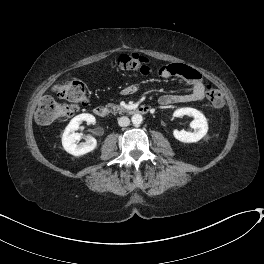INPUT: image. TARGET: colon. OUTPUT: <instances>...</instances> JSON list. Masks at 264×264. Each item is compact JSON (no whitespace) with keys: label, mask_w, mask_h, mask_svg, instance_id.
I'll return each mask as SVG.
<instances>
[{"label":"colon","mask_w":264,"mask_h":264,"mask_svg":"<svg viewBox=\"0 0 264 264\" xmlns=\"http://www.w3.org/2000/svg\"><path fill=\"white\" fill-rule=\"evenodd\" d=\"M115 70L149 74L152 70L150 59L139 54H122L113 63ZM206 97L214 107H222L224 97L221 91L212 84L205 87ZM88 103V95L84 83L68 81L62 83L56 95L45 93L41 96L36 111V121L41 125L63 121L76 114L80 107Z\"/></svg>","instance_id":"obj_1"}]
</instances>
